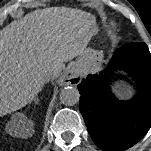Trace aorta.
<instances>
[{
  "instance_id": "obj_1",
  "label": "aorta",
  "mask_w": 151,
  "mask_h": 151,
  "mask_svg": "<svg viewBox=\"0 0 151 151\" xmlns=\"http://www.w3.org/2000/svg\"><path fill=\"white\" fill-rule=\"evenodd\" d=\"M60 101L66 106H73L79 102L80 93L75 87H65L60 92Z\"/></svg>"
}]
</instances>
